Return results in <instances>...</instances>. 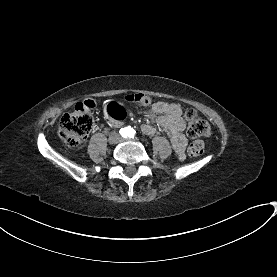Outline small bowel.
I'll return each mask as SVG.
<instances>
[{
    "label": "small bowel",
    "instance_id": "obj_1",
    "mask_svg": "<svg viewBox=\"0 0 277 277\" xmlns=\"http://www.w3.org/2000/svg\"><path fill=\"white\" fill-rule=\"evenodd\" d=\"M148 116L157 121L160 129L170 134L175 153L180 160L184 159L187 140L184 134L185 120L180 106L159 101L151 106ZM142 131L146 135H153L156 128L154 125L147 123L142 125Z\"/></svg>",
    "mask_w": 277,
    "mask_h": 277
}]
</instances>
